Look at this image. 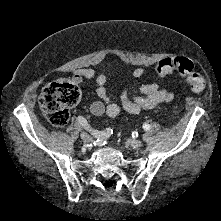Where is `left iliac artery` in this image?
<instances>
[{
	"instance_id": "left-iliac-artery-1",
	"label": "left iliac artery",
	"mask_w": 221,
	"mask_h": 221,
	"mask_svg": "<svg viewBox=\"0 0 221 221\" xmlns=\"http://www.w3.org/2000/svg\"><path fill=\"white\" fill-rule=\"evenodd\" d=\"M143 129L146 130V131L149 130L150 129V125L146 124V123L143 124Z\"/></svg>"
}]
</instances>
